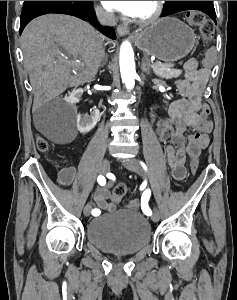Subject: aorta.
I'll list each match as a JSON object with an SVG mask.
<instances>
[{"mask_svg": "<svg viewBox=\"0 0 237 300\" xmlns=\"http://www.w3.org/2000/svg\"><path fill=\"white\" fill-rule=\"evenodd\" d=\"M119 65L125 87H127V89H134L136 71L132 47L128 41L122 43L120 47Z\"/></svg>", "mask_w": 237, "mask_h": 300, "instance_id": "obj_1", "label": "aorta"}]
</instances>
